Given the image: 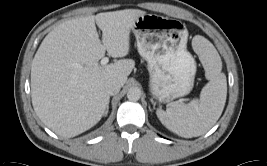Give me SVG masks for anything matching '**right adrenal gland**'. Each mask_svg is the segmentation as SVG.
Instances as JSON below:
<instances>
[{"instance_id":"right-adrenal-gland-1","label":"right adrenal gland","mask_w":267,"mask_h":166,"mask_svg":"<svg viewBox=\"0 0 267 166\" xmlns=\"http://www.w3.org/2000/svg\"><path fill=\"white\" fill-rule=\"evenodd\" d=\"M108 111H109V101H108L107 106H106L105 115H107Z\"/></svg>"}]
</instances>
